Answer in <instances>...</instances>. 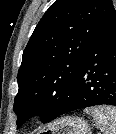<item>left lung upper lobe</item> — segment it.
Instances as JSON below:
<instances>
[{
	"label": "left lung upper lobe",
	"mask_w": 116,
	"mask_h": 134,
	"mask_svg": "<svg viewBox=\"0 0 116 134\" xmlns=\"http://www.w3.org/2000/svg\"><path fill=\"white\" fill-rule=\"evenodd\" d=\"M111 0H56L37 24L18 71L17 128L33 115L49 122L72 96L85 56Z\"/></svg>",
	"instance_id": "obj_1"
}]
</instances>
